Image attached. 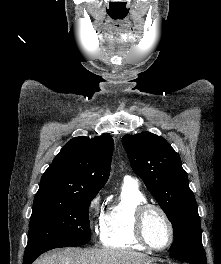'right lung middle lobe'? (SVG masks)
<instances>
[{"instance_id":"right-lung-middle-lobe-1","label":"right lung middle lobe","mask_w":221,"mask_h":264,"mask_svg":"<svg viewBox=\"0 0 221 264\" xmlns=\"http://www.w3.org/2000/svg\"><path fill=\"white\" fill-rule=\"evenodd\" d=\"M96 194H36L24 258L90 241L89 205Z\"/></svg>"}]
</instances>
